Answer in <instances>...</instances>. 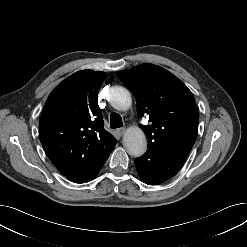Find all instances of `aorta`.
<instances>
[{"instance_id":"aorta-1","label":"aorta","mask_w":247,"mask_h":247,"mask_svg":"<svg viewBox=\"0 0 247 247\" xmlns=\"http://www.w3.org/2000/svg\"><path fill=\"white\" fill-rule=\"evenodd\" d=\"M111 106L118 111H126L132 104L130 92L121 86L113 87L109 93ZM123 144L129 155L142 156L147 149V139L144 132L136 127L129 128L123 136Z\"/></svg>"}]
</instances>
